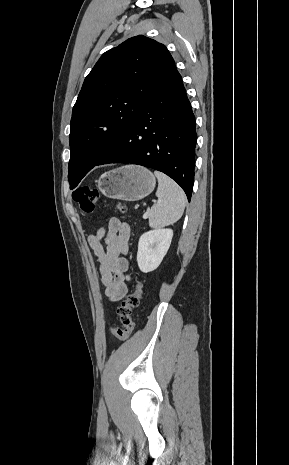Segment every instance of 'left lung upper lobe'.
<instances>
[{
	"label": "left lung upper lobe",
	"mask_w": 289,
	"mask_h": 465,
	"mask_svg": "<svg viewBox=\"0 0 289 465\" xmlns=\"http://www.w3.org/2000/svg\"><path fill=\"white\" fill-rule=\"evenodd\" d=\"M177 71L167 48L139 35L105 52L84 80L70 123V188L113 148L146 97Z\"/></svg>",
	"instance_id": "1"
}]
</instances>
